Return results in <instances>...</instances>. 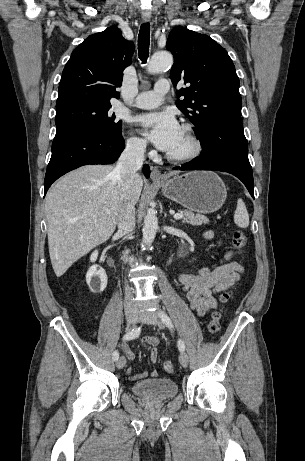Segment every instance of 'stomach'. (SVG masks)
Instances as JSON below:
<instances>
[{
    "label": "stomach",
    "instance_id": "stomach-1",
    "mask_svg": "<svg viewBox=\"0 0 305 461\" xmlns=\"http://www.w3.org/2000/svg\"><path fill=\"white\" fill-rule=\"evenodd\" d=\"M168 199L189 211L212 213L219 210L227 196L225 184L212 171H192L158 183Z\"/></svg>",
    "mask_w": 305,
    "mask_h": 461
}]
</instances>
